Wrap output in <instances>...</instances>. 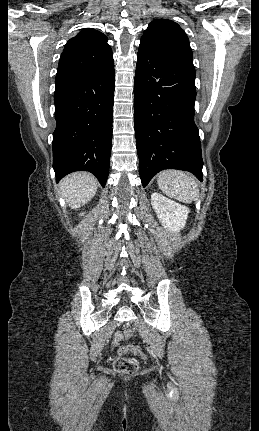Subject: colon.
Masks as SVG:
<instances>
[{"label": "colon", "mask_w": 259, "mask_h": 431, "mask_svg": "<svg viewBox=\"0 0 259 431\" xmlns=\"http://www.w3.org/2000/svg\"><path fill=\"white\" fill-rule=\"evenodd\" d=\"M133 335V330L129 327H125L115 334L113 342L117 344L121 341L130 340ZM128 352H132L141 358H144L145 354L139 347L123 346L120 348L119 356L114 361V368L121 374L131 375L138 371L139 364L135 359L124 356Z\"/></svg>", "instance_id": "5ec220e1"}]
</instances>
